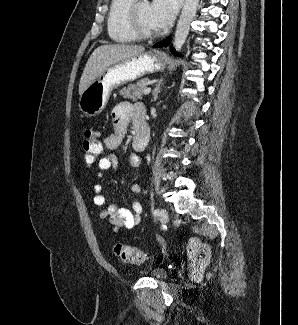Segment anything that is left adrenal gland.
<instances>
[{
	"label": "left adrenal gland",
	"mask_w": 298,
	"mask_h": 325,
	"mask_svg": "<svg viewBox=\"0 0 298 325\" xmlns=\"http://www.w3.org/2000/svg\"><path fill=\"white\" fill-rule=\"evenodd\" d=\"M161 84H162V80H160V82H158V84H156L155 88H153V90H152V94H153L152 100H156V98H158V92H161Z\"/></svg>",
	"instance_id": "obj_1"
}]
</instances>
